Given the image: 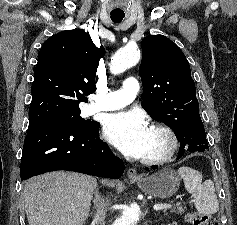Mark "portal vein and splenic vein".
I'll use <instances>...</instances> for the list:
<instances>
[{"label": "portal vein and splenic vein", "mask_w": 237, "mask_h": 225, "mask_svg": "<svg viewBox=\"0 0 237 225\" xmlns=\"http://www.w3.org/2000/svg\"><path fill=\"white\" fill-rule=\"evenodd\" d=\"M172 207V205H170V204H156V205H154V210H156V211H159V210H163V209H167V208H171Z\"/></svg>", "instance_id": "18ae733b"}]
</instances>
